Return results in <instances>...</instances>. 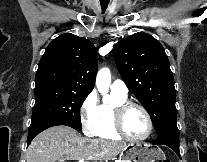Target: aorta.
Listing matches in <instances>:
<instances>
[{
    "label": "aorta",
    "instance_id": "aorta-1",
    "mask_svg": "<svg viewBox=\"0 0 207 162\" xmlns=\"http://www.w3.org/2000/svg\"><path fill=\"white\" fill-rule=\"evenodd\" d=\"M111 84V72L108 68H102L98 71L96 76V86L98 91L103 96V102L107 103L110 100L108 95L109 86Z\"/></svg>",
    "mask_w": 207,
    "mask_h": 162
}]
</instances>
